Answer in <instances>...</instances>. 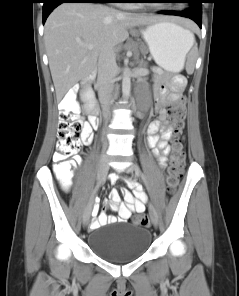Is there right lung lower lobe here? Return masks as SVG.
<instances>
[{
	"mask_svg": "<svg viewBox=\"0 0 239 296\" xmlns=\"http://www.w3.org/2000/svg\"><path fill=\"white\" fill-rule=\"evenodd\" d=\"M109 0H43V23L48 15L61 3H108Z\"/></svg>",
	"mask_w": 239,
	"mask_h": 296,
	"instance_id": "obj_1",
	"label": "right lung lower lobe"
}]
</instances>
